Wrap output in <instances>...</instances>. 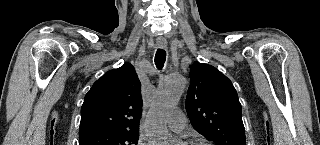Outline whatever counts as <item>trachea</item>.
I'll list each match as a JSON object with an SVG mask.
<instances>
[{
	"mask_svg": "<svg viewBox=\"0 0 320 145\" xmlns=\"http://www.w3.org/2000/svg\"><path fill=\"white\" fill-rule=\"evenodd\" d=\"M166 60V52L163 49H157L156 55H155V65L158 69H162L164 66Z\"/></svg>",
	"mask_w": 320,
	"mask_h": 145,
	"instance_id": "obj_1",
	"label": "trachea"
}]
</instances>
